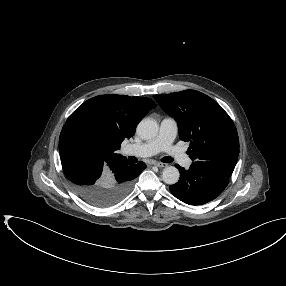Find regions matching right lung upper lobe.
I'll list each match as a JSON object with an SVG mask.
<instances>
[{
    "label": "right lung upper lobe",
    "mask_w": 286,
    "mask_h": 286,
    "mask_svg": "<svg viewBox=\"0 0 286 286\" xmlns=\"http://www.w3.org/2000/svg\"><path fill=\"white\" fill-rule=\"evenodd\" d=\"M155 107L146 97L96 96L79 106L63 128L85 134L107 159H122L125 157L117 153L122 141L134 135L139 120Z\"/></svg>",
    "instance_id": "obj_1"
}]
</instances>
